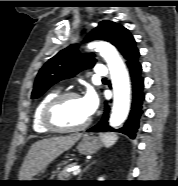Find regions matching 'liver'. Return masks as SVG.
Returning a JSON list of instances; mask_svg holds the SVG:
<instances>
[{"instance_id": "6515ba94", "label": "liver", "mask_w": 178, "mask_h": 186, "mask_svg": "<svg viewBox=\"0 0 178 186\" xmlns=\"http://www.w3.org/2000/svg\"><path fill=\"white\" fill-rule=\"evenodd\" d=\"M81 134L56 136L35 142L26 155L19 172L21 181H28L42 172L55 158L70 149Z\"/></svg>"}]
</instances>
